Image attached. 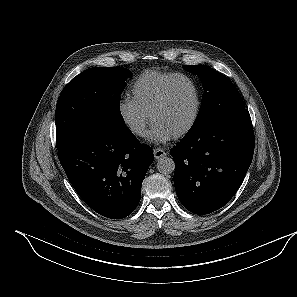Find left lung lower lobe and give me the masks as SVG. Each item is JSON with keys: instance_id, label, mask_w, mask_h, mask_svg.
Segmentation results:
<instances>
[{"instance_id": "1", "label": "left lung lower lobe", "mask_w": 297, "mask_h": 297, "mask_svg": "<svg viewBox=\"0 0 297 297\" xmlns=\"http://www.w3.org/2000/svg\"><path fill=\"white\" fill-rule=\"evenodd\" d=\"M254 133L241 108L189 130L171 150L174 184L184 207L195 214L222 208L240 187L252 162Z\"/></svg>"}]
</instances>
